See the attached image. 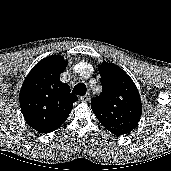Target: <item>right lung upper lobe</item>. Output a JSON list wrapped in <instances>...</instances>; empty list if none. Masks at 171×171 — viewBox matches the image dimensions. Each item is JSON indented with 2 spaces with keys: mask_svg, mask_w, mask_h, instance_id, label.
<instances>
[{
  "mask_svg": "<svg viewBox=\"0 0 171 171\" xmlns=\"http://www.w3.org/2000/svg\"><path fill=\"white\" fill-rule=\"evenodd\" d=\"M67 62L61 56L41 60L25 78L19 102L27 124L39 133H50L68 118L77 97L70 93L60 74Z\"/></svg>",
  "mask_w": 171,
  "mask_h": 171,
  "instance_id": "right-lung-upper-lobe-1",
  "label": "right lung upper lobe"
}]
</instances>
